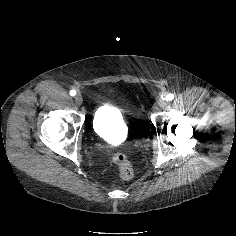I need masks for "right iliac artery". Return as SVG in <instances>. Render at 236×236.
Returning <instances> with one entry per match:
<instances>
[{
    "instance_id": "82829eb1",
    "label": "right iliac artery",
    "mask_w": 236,
    "mask_h": 236,
    "mask_svg": "<svg viewBox=\"0 0 236 236\" xmlns=\"http://www.w3.org/2000/svg\"><path fill=\"white\" fill-rule=\"evenodd\" d=\"M70 95H71V96H75V95H76V91H75V90H71V91H70Z\"/></svg>"
}]
</instances>
